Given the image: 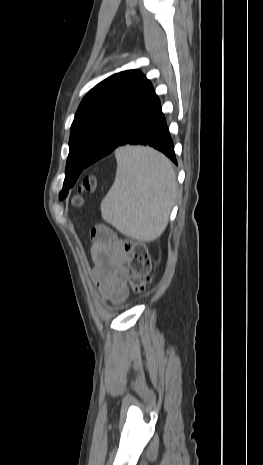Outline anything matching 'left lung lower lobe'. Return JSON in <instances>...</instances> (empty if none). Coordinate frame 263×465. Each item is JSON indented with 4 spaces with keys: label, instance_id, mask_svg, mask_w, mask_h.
<instances>
[{
    "label": "left lung lower lobe",
    "instance_id": "0a47b994",
    "mask_svg": "<svg viewBox=\"0 0 263 465\" xmlns=\"http://www.w3.org/2000/svg\"><path fill=\"white\" fill-rule=\"evenodd\" d=\"M125 144L152 146L177 164L173 141L161 111L159 98L149 80H146L138 95L117 113L103 132L86 161L85 168ZM70 168L71 162L68 160L65 174Z\"/></svg>",
    "mask_w": 263,
    "mask_h": 465
}]
</instances>
